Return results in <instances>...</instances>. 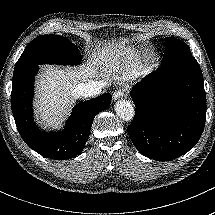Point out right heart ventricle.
<instances>
[{
    "label": "right heart ventricle",
    "instance_id": "1",
    "mask_svg": "<svg viewBox=\"0 0 215 215\" xmlns=\"http://www.w3.org/2000/svg\"><path fill=\"white\" fill-rule=\"evenodd\" d=\"M127 49L120 47L112 50L105 58L102 59L103 67L108 68L120 62L127 53Z\"/></svg>",
    "mask_w": 215,
    "mask_h": 215
}]
</instances>
